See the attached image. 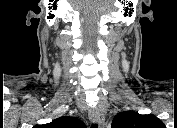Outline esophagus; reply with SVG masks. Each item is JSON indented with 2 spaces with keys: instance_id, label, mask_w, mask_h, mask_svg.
I'll return each mask as SVG.
<instances>
[{
  "instance_id": "obj_1",
  "label": "esophagus",
  "mask_w": 177,
  "mask_h": 128,
  "mask_svg": "<svg viewBox=\"0 0 177 128\" xmlns=\"http://www.w3.org/2000/svg\"><path fill=\"white\" fill-rule=\"evenodd\" d=\"M89 118H90L92 123L99 124L101 128L104 127L105 118H104V115L99 108L92 109L89 113Z\"/></svg>"
}]
</instances>
